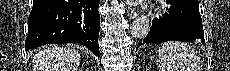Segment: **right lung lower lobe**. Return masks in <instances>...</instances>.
Wrapping results in <instances>:
<instances>
[{
    "instance_id": "right-lung-lower-lobe-1",
    "label": "right lung lower lobe",
    "mask_w": 230,
    "mask_h": 71,
    "mask_svg": "<svg viewBox=\"0 0 230 71\" xmlns=\"http://www.w3.org/2000/svg\"><path fill=\"white\" fill-rule=\"evenodd\" d=\"M98 7L99 0H34L25 49L73 42L100 56Z\"/></svg>"
}]
</instances>
